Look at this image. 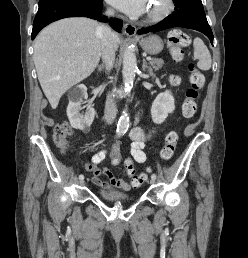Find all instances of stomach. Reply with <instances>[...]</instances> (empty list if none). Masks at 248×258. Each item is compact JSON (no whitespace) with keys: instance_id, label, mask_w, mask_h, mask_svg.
Returning <instances> with one entry per match:
<instances>
[{"instance_id":"obj_1","label":"stomach","mask_w":248,"mask_h":258,"mask_svg":"<svg viewBox=\"0 0 248 258\" xmlns=\"http://www.w3.org/2000/svg\"><path fill=\"white\" fill-rule=\"evenodd\" d=\"M140 45L145 52L151 55L160 53L164 47L162 39L157 35H150L142 39Z\"/></svg>"}]
</instances>
